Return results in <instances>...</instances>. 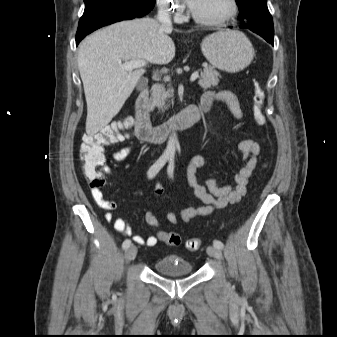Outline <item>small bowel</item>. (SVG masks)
<instances>
[{
	"label": "small bowel",
	"mask_w": 337,
	"mask_h": 337,
	"mask_svg": "<svg viewBox=\"0 0 337 337\" xmlns=\"http://www.w3.org/2000/svg\"><path fill=\"white\" fill-rule=\"evenodd\" d=\"M215 101L223 102L227 105L235 118L243 116L242 109L236 96L230 91L207 92L200 102L209 105L211 108ZM133 146H125L113 153L112 159L115 162H122L133 154ZM239 151L244 161L243 167L234 177L233 184L218 185L215 177H208L205 184L198 182L196 172L209 164L210 159L201 155L193 156L186 167V179L188 185L193 189L195 196L203 203L199 207H188L180 212V218L188 223L196 217H205L214 212L215 209L223 208L229 204L238 203L246 194L249 178L256 169L258 158L261 152L260 145L254 140L247 138L239 143ZM106 173H111L109 167L105 168ZM156 196H162L165 192L161 184H155L153 188ZM91 196L98 207L106 210L105 219L113 222L117 232L126 236H133V240L140 245L149 247L155 246L160 240L159 236H149L143 238L140 235H134L130 224L122 217H115L113 211L117 208L115 202L107 200L100 187L91 188ZM145 221L151 227H160L161 223L156 214L152 211L145 213ZM166 218L172 225L179 223V218L175 212H168Z\"/></svg>",
	"instance_id": "1"
}]
</instances>
